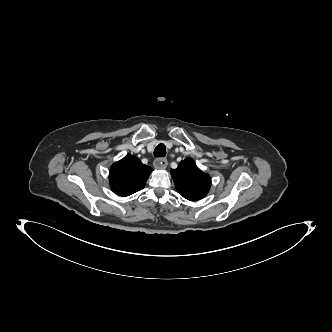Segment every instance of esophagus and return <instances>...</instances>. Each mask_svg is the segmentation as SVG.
<instances>
[{
  "instance_id": "esophagus-1",
  "label": "esophagus",
  "mask_w": 332,
  "mask_h": 332,
  "mask_svg": "<svg viewBox=\"0 0 332 332\" xmlns=\"http://www.w3.org/2000/svg\"><path fill=\"white\" fill-rule=\"evenodd\" d=\"M167 165H168V161L165 158H157L154 161V167L156 169H165L167 167Z\"/></svg>"
}]
</instances>
